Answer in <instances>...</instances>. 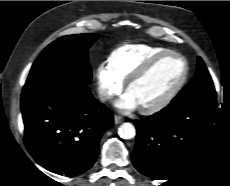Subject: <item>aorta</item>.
<instances>
[{
    "instance_id": "aorta-1",
    "label": "aorta",
    "mask_w": 230,
    "mask_h": 186,
    "mask_svg": "<svg viewBox=\"0 0 230 186\" xmlns=\"http://www.w3.org/2000/svg\"><path fill=\"white\" fill-rule=\"evenodd\" d=\"M118 134L123 139H132L136 135V130L131 123H123L118 129Z\"/></svg>"
}]
</instances>
